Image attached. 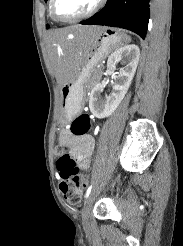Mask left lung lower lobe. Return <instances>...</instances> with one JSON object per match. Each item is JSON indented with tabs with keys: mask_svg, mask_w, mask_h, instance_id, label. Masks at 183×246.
Instances as JSON below:
<instances>
[{
	"mask_svg": "<svg viewBox=\"0 0 183 246\" xmlns=\"http://www.w3.org/2000/svg\"><path fill=\"white\" fill-rule=\"evenodd\" d=\"M149 0H107L105 7L82 25L120 27L145 38L149 21Z\"/></svg>",
	"mask_w": 183,
	"mask_h": 246,
	"instance_id": "1",
	"label": "left lung lower lobe"
}]
</instances>
